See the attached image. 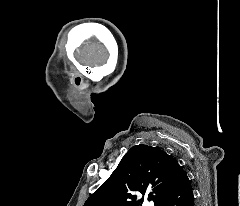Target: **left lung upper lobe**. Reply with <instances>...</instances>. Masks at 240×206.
<instances>
[{
	"label": "left lung upper lobe",
	"mask_w": 240,
	"mask_h": 206,
	"mask_svg": "<svg viewBox=\"0 0 240 206\" xmlns=\"http://www.w3.org/2000/svg\"><path fill=\"white\" fill-rule=\"evenodd\" d=\"M178 168L177 160L159 148L133 146L84 206H141L144 199L161 206ZM136 192L144 197L137 199Z\"/></svg>",
	"instance_id": "1"
}]
</instances>
